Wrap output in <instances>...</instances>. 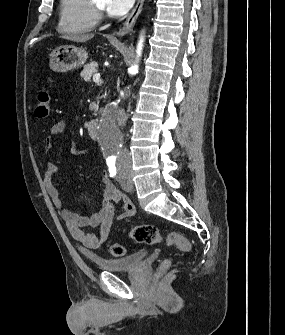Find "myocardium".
<instances>
[{"mask_svg":"<svg viewBox=\"0 0 285 335\" xmlns=\"http://www.w3.org/2000/svg\"><path fill=\"white\" fill-rule=\"evenodd\" d=\"M96 2H97V10L100 13V15H102L103 12L105 11V7L101 1H96Z\"/></svg>","mask_w":285,"mask_h":335,"instance_id":"f54148a6","label":"myocardium"}]
</instances>
